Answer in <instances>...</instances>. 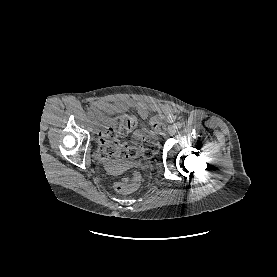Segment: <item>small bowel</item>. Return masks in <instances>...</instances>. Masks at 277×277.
I'll list each match as a JSON object with an SVG mask.
<instances>
[{"instance_id":"obj_1","label":"small bowel","mask_w":277,"mask_h":277,"mask_svg":"<svg viewBox=\"0 0 277 277\" xmlns=\"http://www.w3.org/2000/svg\"><path fill=\"white\" fill-rule=\"evenodd\" d=\"M120 105V106H125L126 104L124 103H115V104H110L104 101H97L92 105L93 112L101 123L105 124L108 122V117L106 115V112L115 106ZM136 109L138 112L143 116L144 118L147 117L149 111L156 112L158 114L157 118H152L150 120V123H158V121H166L173 119L175 117V112L174 110L163 104H147L143 102H138L135 104ZM141 136V133H136L135 137L138 138Z\"/></svg>"}]
</instances>
